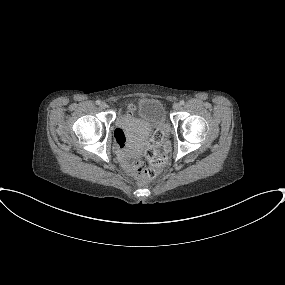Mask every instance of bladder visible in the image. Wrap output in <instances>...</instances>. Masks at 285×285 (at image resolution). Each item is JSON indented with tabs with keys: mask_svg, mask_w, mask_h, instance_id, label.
<instances>
[{
	"mask_svg": "<svg viewBox=\"0 0 285 285\" xmlns=\"http://www.w3.org/2000/svg\"><path fill=\"white\" fill-rule=\"evenodd\" d=\"M166 121L163 104L157 99H140L136 115H120L114 124L122 132V138L131 150L142 147L149 138L152 125H163Z\"/></svg>",
	"mask_w": 285,
	"mask_h": 285,
	"instance_id": "31cf9c89",
	"label": "bladder"
}]
</instances>
